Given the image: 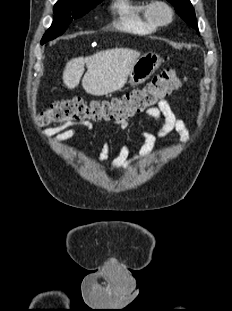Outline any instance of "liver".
<instances>
[{
  "instance_id": "obj_1",
  "label": "liver",
  "mask_w": 232,
  "mask_h": 311,
  "mask_svg": "<svg viewBox=\"0 0 232 311\" xmlns=\"http://www.w3.org/2000/svg\"><path fill=\"white\" fill-rule=\"evenodd\" d=\"M140 53L127 48L100 51L92 56L73 58L63 71V83L68 89L78 86L82 79L84 90L94 96H102L121 89L127 82L132 66Z\"/></svg>"
}]
</instances>
